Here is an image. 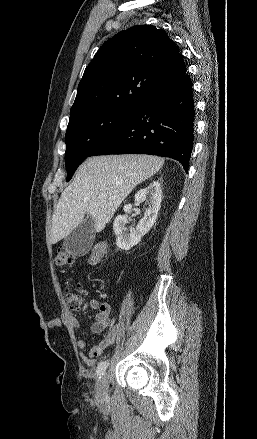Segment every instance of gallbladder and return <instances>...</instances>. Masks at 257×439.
Returning <instances> with one entry per match:
<instances>
[{"label": "gallbladder", "instance_id": "1", "mask_svg": "<svg viewBox=\"0 0 257 439\" xmlns=\"http://www.w3.org/2000/svg\"><path fill=\"white\" fill-rule=\"evenodd\" d=\"M94 237V221L88 216L64 239L63 247L75 256H83L90 250Z\"/></svg>", "mask_w": 257, "mask_h": 439}]
</instances>
